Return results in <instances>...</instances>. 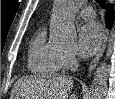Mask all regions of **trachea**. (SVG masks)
<instances>
[{
	"mask_svg": "<svg viewBox=\"0 0 115 99\" xmlns=\"http://www.w3.org/2000/svg\"><path fill=\"white\" fill-rule=\"evenodd\" d=\"M96 2L99 4V6L103 9L106 7V1L105 0H96Z\"/></svg>",
	"mask_w": 115,
	"mask_h": 99,
	"instance_id": "1",
	"label": "trachea"
}]
</instances>
